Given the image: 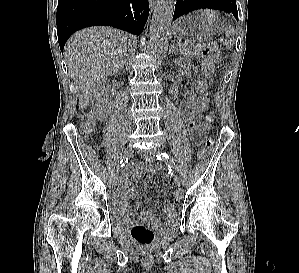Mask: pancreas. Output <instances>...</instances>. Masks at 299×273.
I'll use <instances>...</instances> for the list:
<instances>
[{
    "mask_svg": "<svg viewBox=\"0 0 299 273\" xmlns=\"http://www.w3.org/2000/svg\"><path fill=\"white\" fill-rule=\"evenodd\" d=\"M178 48L181 55L185 57H193L197 55V53L194 52V47L191 44L179 43Z\"/></svg>",
    "mask_w": 299,
    "mask_h": 273,
    "instance_id": "cf45deb5",
    "label": "pancreas"
}]
</instances>
